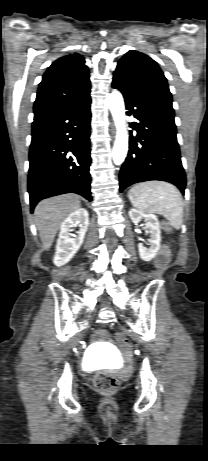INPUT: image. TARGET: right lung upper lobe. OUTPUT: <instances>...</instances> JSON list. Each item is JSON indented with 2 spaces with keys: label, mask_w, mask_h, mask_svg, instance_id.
I'll return each mask as SVG.
<instances>
[{
  "label": "right lung upper lobe",
  "mask_w": 208,
  "mask_h": 461,
  "mask_svg": "<svg viewBox=\"0 0 208 461\" xmlns=\"http://www.w3.org/2000/svg\"><path fill=\"white\" fill-rule=\"evenodd\" d=\"M90 96L89 69L78 53L54 61L43 75L34 103V119L79 104Z\"/></svg>",
  "instance_id": "1"
}]
</instances>
